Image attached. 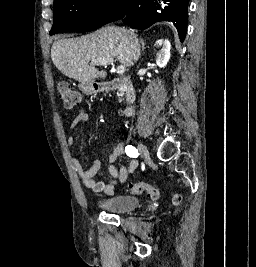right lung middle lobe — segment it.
Here are the masks:
<instances>
[{
    "instance_id": "1",
    "label": "right lung middle lobe",
    "mask_w": 256,
    "mask_h": 267,
    "mask_svg": "<svg viewBox=\"0 0 256 267\" xmlns=\"http://www.w3.org/2000/svg\"><path fill=\"white\" fill-rule=\"evenodd\" d=\"M131 0H57L50 35L68 31H92L125 13Z\"/></svg>"
}]
</instances>
